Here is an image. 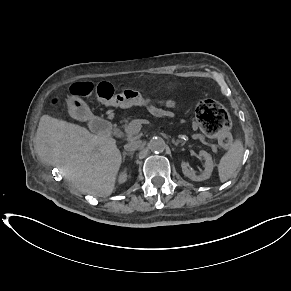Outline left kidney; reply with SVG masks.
Segmentation results:
<instances>
[{
    "label": "left kidney",
    "instance_id": "5707ae66",
    "mask_svg": "<svg viewBox=\"0 0 291 291\" xmlns=\"http://www.w3.org/2000/svg\"><path fill=\"white\" fill-rule=\"evenodd\" d=\"M199 156H201L205 159V169L201 175H196L194 173V171L190 170L188 168L189 163L184 162V161L181 163V168H182L183 174L193 181H203V180L210 178L211 173H212L213 168H214V163H213L212 157L209 153H207L204 150H201L199 152Z\"/></svg>",
    "mask_w": 291,
    "mask_h": 291
}]
</instances>
